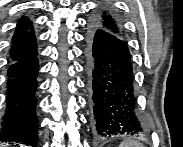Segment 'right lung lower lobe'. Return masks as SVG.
Segmentation results:
<instances>
[{
	"mask_svg": "<svg viewBox=\"0 0 183 147\" xmlns=\"http://www.w3.org/2000/svg\"><path fill=\"white\" fill-rule=\"evenodd\" d=\"M37 52L26 59L10 62L6 81V114L0 141L37 144V116L35 97L39 71Z\"/></svg>",
	"mask_w": 183,
	"mask_h": 147,
	"instance_id": "obj_1",
	"label": "right lung lower lobe"
}]
</instances>
